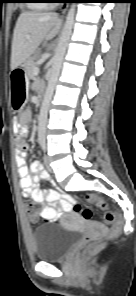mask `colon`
<instances>
[{
	"label": "colon",
	"instance_id": "obj_1",
	"mask_svg": "<svg viewBox=\"0 0 136 296\" xmlns=\"http://www.w3.org/2000/svg\"><path fill=\"white\" fill-rule=\"evenodd\" d=\"M87 198L91 202H95L105 209L104 216H103V220L105 224L113 226L115 229H119L122 226V218L116 212L110 209H107L105 203L99 197L88 196ZM25 210L30 215H36L38 212V205L34 202H27L25 204ZM73 210L76 213H79L85 220H90L92 218L91 210L89 208L83 207L79 203L74 204ZM92 246H93V239L91 237H87L85 239V244L82 251L87 252L92 248Z\"/></svg>",
	"mask_w": 136,
	"mask_h": 296
}]
</instances>
